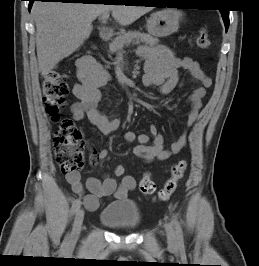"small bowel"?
<instances>
[{"instance_id": "c3829d8e", "label": "small bowel", "mask_w": 259, "mask_h": 266, "mask_svg": "<svg viewBox=\"0 0 259 266\" xmlns=\"http://www.w3.org/2000/svg\"><path fill=\"white\" fill-rule=\"evenodd\" d=\"M145 57L144 75L142 82L146 87L156 88L162 95H170L175 89L181 86L179 71L184 69L189 72L191 81L198 85L189 96L190 109L188 113L187 126H192L198 119L203 106V98L212 80L203 71L200 63L191 57H177L165 46H156L150 50H143ZM78 75L80 83L74 86V95L78 101L71 106L73 120L80 121L87 118L96 125L105 135H110L120 127V121L110 118L98 108L101 101L100 89L109 80L107 72L89 57H83L78 63ZM151 137L147 134H136L127 131L124 135L128 142H137L133 153L145 163L155 160L165 161L172 155L179 153L187 143V131H182L170 148L165 147V139L158 132L155 125L150 126ZM92 163L104 159L108 155L105 149L89 147ZM66 180L73 192L80 196L85 207L96 210L101 199L114 196L119 200L127 198L128 193L135 189L136 182L130 176L122 178L120 183L110 175H105L102 180L95 177H88L85 184L79 173L66 175Z\"/></svg>"}]
</instances>
